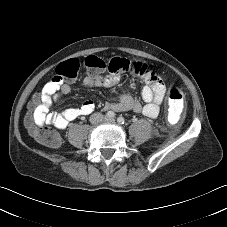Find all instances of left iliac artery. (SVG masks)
<instances>
[{"mask_svg":"<svg viewBox=\"0 0 227 227\" xmlns=\"http://www.w3.org/2000/svg\"><path fill=\"white\" fill-rule=\"evenodd\" d=\"M117 122L119 123V124H124L125 123V119L123 118V117H118L117 118Z\"/></svg>","mask_w":227,"mask_h":227,"instance_id":"1","label":"left iliac artery"}]
</instances>
